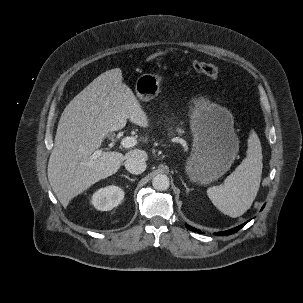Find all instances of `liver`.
Returning a JSON list of instances; mask_svg holds the SVG:
<instances>
[{
  "label": "liver",
  "mask_w": 303,
  "mask_h": 303,
  "mask_svg": "<svg viewBox=\"0 0 303 303\" xmlns=\"http://www.w3.org/2000/svg\"><path fill=\"white\" fill-rule=\"evenodd\" d=\"M127 119L144 128L149 125L135 95L123 84L120 68L99 75L66 106L48 163V180L64 208L91 185L115 174L123 161L147 159L139 149L125 155L104 151L91 159L107 134L124 128Z\"/></svg>",
  "instance_id": "6515ba94"
}]
</instances>
